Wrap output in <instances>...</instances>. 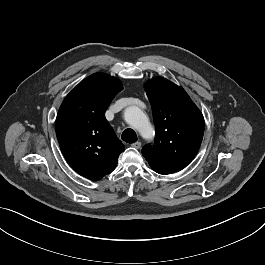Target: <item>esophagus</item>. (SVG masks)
<instances>
[{
	"instance_id": "obj_1",
	"label": "esophagus",
	"mask_w": 265,
	"mask_h": 265,
	"mask_svg": "<svg viewBox=\"0 0 265 265\" xmlns=\"http://www.w3.org/2000/svg\"><path fill=\"white\" fill-rule=\"evenodd\" d=\"M133 148L140 149L141 147V142H135L131 145Z\"/></svg>"
}]
</instances>
